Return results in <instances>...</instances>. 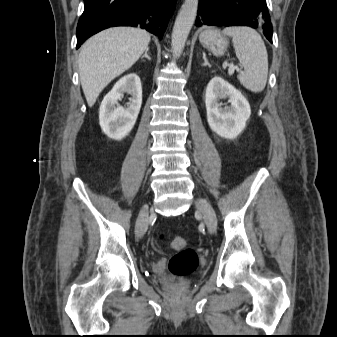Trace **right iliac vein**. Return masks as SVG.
<instances>
[{
    "mask_svg": "<svg viewBox=\"0 0 337 337\" xmlns=\"http://www.w3.org/2000/svg\"><path fill=\"white\" fill-rule=\"evenodd\" d=\"M149 224V210L148 206L142 207L138 215L135 233L137 237L142 238L147 231Z\"/></svg>",
    "mask_w": 337,
    "mask_h": 337,
    "instance_id": "63e3f726",
    "label": "right iliac vein"
}]
</instances>
